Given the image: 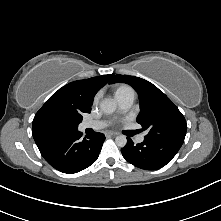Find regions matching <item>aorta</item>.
<instances>
[{
	"mask_svg": "<svg viewBox=\"0 0 221 221\" xmlns=\"http://www.w3.org/2000/svg\"><path fill=\"white\" fill-rule=\"evenodd\" d=\"M100 109L106 114H111L116 110V102L112 99H105L100 103ZM118 147H124L127 144L126 136L119 135L115 138Z\"/></svg>",
	"mask_w": 221,
	"mask_h": 221,
	"instance_id": "obj_1",
	"label": "aorta"
}]
</instances>
